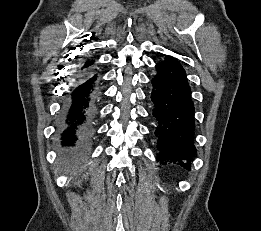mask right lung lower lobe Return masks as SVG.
I'll use <instances>...</instances> for the list:
<instances>
[{"mask_svg":"<svg viewBox=\"0 0 261 231\" xmlns=\"http://www.w3.org/2000/svg\"><path fill=\"white\" fill-rule=\"evenodd\" d=\"M99 76L90 69L79 74L65 94L58 123V134L64 159L76 163L88 151L93 135L92 121L98 96Z\"/></svg>","mask_w":261,"mask_h":231,"instance_id":"98d812e1","label":"right lung lower lobe"}]
</instances>
